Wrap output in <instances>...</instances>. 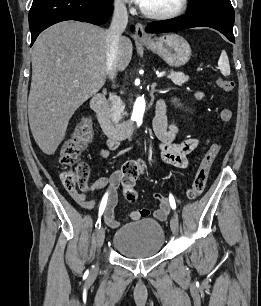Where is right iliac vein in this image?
Masks as SVG:
<instances>
[{
  "mask_svg": "<svg viewBox=\"0 0 261 306\" xmlns=\"http://www.w3.org/2000/svg\"><path fill=\"white\" fill-rule=\"evenodd\" d=\"M104 239H105V231L104 229L101 227V228H98L96 230V245H97V248L100 249L104 243ZM96 269H97V265H96Z\"/></svg>",
  "mask_w": 261,
  "mask_h": 306,
  "instance_id": "right-iliac-vein-1",
  "label": "right iliac vein"
}]
</instances>
